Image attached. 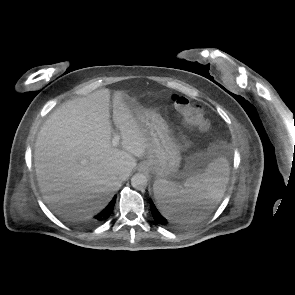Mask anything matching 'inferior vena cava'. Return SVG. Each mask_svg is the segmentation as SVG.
Instances as JSON below:
<instances>
[{
	"label": "inferior vena cava",
	"mask_w": 295,
	"mask_h": 295,
	"mask_svg": "<svg viewBox=\"0 0 295 295\" xmlns=\"http://www.w3.org/2000/svg\"><path fill=\"white\" fill-rule=\"evenodd\" d=\"M127 178V175L126 174H122L121 176H120V179L121 180H125Z\"/></svg>",
	"instance_id": "1"
}]
</instances>
